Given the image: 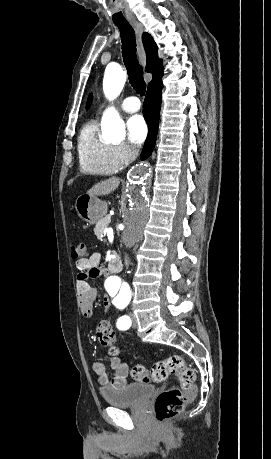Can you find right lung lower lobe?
<instances>
[{"label": "right lung lower lobe", "mask_w": 271, "mask_h": 459, "mask_svg": "<svg viewBox=\"0 0 271 459\" xmlns=\"http://www.w3.org/2000/svg\"><path fill=\"white\" fill-rule=\"evenodd\" d=\"M161 90V77L148 85V90L144 100L143 114L148 123L149 133L142 150V160L148 158L155 147L158 133L159 112L161 108Z\"/></svg>", "instance_id": "1"}]
</instances>
